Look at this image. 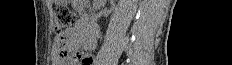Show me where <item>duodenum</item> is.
<instances>
[{
    "label": "duodenum",
    "instance_id": "duodenum-1",
    "mask_svg": "<svg viewBox=\"0 0 232 65\" xmlns=\"http://www.w3.org/2000/svg\"><path fill=\"white\" fill-rule=\"evenodd\" d=\"M76 8L81 15V23L90 37L96 38L98 26L89 6L85 1H76Z\"/></svg>",
    "mask_w": 232,
    "mask_h": 65
}]
</instances>
